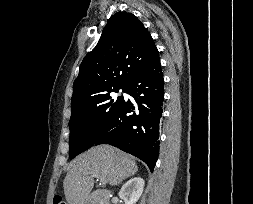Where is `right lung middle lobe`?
<instances>
[{
  "label": "right lung middle lobe",
  "instance_id": "1",
  "mask_svg": "<svg viewBox=\"0 0 253 204\" xmlns=\"http://www.w3.org/2000/svg\"><path fill=\"white\" fill-rule=\"evenodd\" d=\"M119 89L124 91V88H116L89 102L72 108L69 122V154L71 159L93 146L103 130L111 122L123 102V96H118L114 100L111 98L110 93L118 92Z\"/></svg>",
  "mask_w": 253,
  "mask_h": 204
}]
</instances>
